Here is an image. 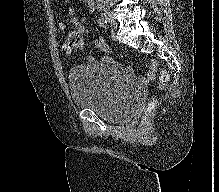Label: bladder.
Instances as JSON below:
<instances>
[{"label":"bladder","mask_w":219,"mask_h":192,"mask_svg":"<svg viewBox=\"0 0 219 192\" xmlns=\"http://www.w3.org/2000/svg\"><path fill=\"white\" fill-rule=\"evenodd\" d=\"M67 82L73 103L112 123L132 119L142 95L123 68L113 63L85 62L70 69Z\"/></svg>","instance_id":"31cf9c89"}]
</instances>
